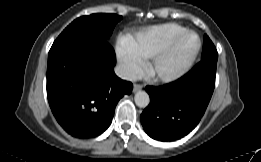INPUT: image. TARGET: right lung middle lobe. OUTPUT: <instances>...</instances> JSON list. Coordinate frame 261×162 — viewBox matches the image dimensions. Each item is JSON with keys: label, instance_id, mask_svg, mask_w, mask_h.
I'll list each match as a JSON object with an SVG mask.
<instances>
[{"label": "right lung middle lobe", "instance_id": "right-lung-middle-lobe-1", "mask_svg": "<svg viewBox=\"0 0 261 162\" xmlns=\"http://www.w3.org/2000/svg\"><path fill=\"white\" fill-rule=\"evenodd\" d=\"M122 16L98 13L79 17L58 36L54 43L80 38H102L107 40Z\"/></svg>", "mask_w": 261, "mask_h": 162}]
</instances>
